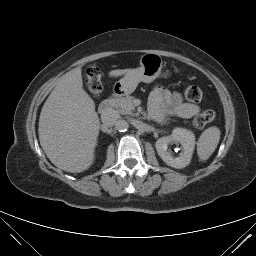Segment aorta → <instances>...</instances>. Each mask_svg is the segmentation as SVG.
Masks as SVG:
<instances>
[{
  "label": "aorta",
  "mask_w": 256,
  "mask_h": 256,
  "mask_svg": "<svg viewBox=\"0 0 256 256\" xmlns=\"http://www.w3.org/2000/svg\"><path fill=\"white\" fill-rule=\"evenodd\" d=\"M129 128V123L126 120H119L116 124V129L126 131Z\"/></svg>",
  "instance_id": "aorta-1"
}]
</instances>
